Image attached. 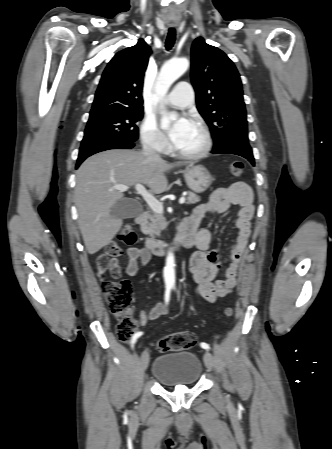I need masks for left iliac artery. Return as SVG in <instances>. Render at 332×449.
<instances>
[{
	"mask_svg": "<svg viewBox=\"0 0 332 449\" xmlns=\"http://www.w3.org/2000/svg\"><path fill=\"white\" fill-rule=\"evenodd\" d=\"M200 346L203 348V349H210V346L207 344V343H204V342H202L201 344H200Z\"/></svg>",
	"mask_w": 332,
	"mask_h": 449,
	"instance_id": "1",
	"label": "left iliac artery"
}]
</instances>
